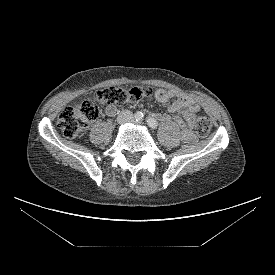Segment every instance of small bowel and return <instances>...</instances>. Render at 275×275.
Listing matches in <instances>:
<instances>
[{
  "label": "small bowel",
  "mask_w": 275,
  "mask_h": 275,
  "mask_svg": "<svg viewBox=\"0 0 275 275\" xmlns=\"http://www.w3.org/2000/svg\"><path fill=\"white\" fill-rule=\"evenodd\" d=\"M158 102L168 104V111L174 114V120L181 129V139L185 143H194L197 138L193 132L195 124V112L199 110V105L190 96L176 90L159 89L155 93ZM105 114L114 116L117 113V107L114 104H108L105 107ZM166 119V116L163 117Z\"/></svg>",
  "instance_id": "small-bowel-1"
}]
</instances>
